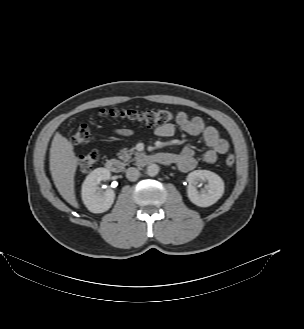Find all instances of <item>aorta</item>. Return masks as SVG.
Masks as SVG:
<instances>
[{"label":"aorta","instance_id":"762f6f07","mask_svg":"<svg viewBox=\"0 0 304 329\" xmlns=\"http://www.w3.org/2000/svg\"><path fill=\"white\" fill-rule=\"evenodd\" d=\"M146 172L149 176L154 177L159 173V166L157 164H150Z\"/></svg>","mask_w":304,"mask_h":329}]
</instances>
